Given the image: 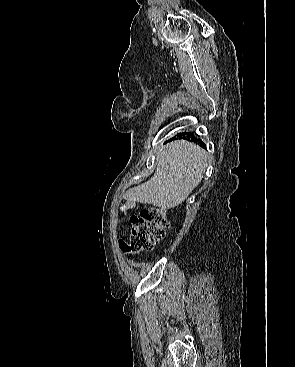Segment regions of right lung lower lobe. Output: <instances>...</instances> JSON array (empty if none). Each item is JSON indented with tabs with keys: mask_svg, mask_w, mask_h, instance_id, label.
Masks as SVG:
<instances>
[{
	"mask_svg": "<svg viewBox=\"0 0 295 367\" xmlns=\"http://www.w3.org/2000/svg\"><path fill=\"white\" fill-rule=\"evenodd\" d=\"M174 139H191V141H194L195 143H198L201 147L206 148L205 144L201 140H196L195 138H193V134L189 132L179 133L177 134V136L174 137Z\"/></svg>",
	"mask_w": 295,
	"mask_h": 367,
	"instance_id": "right-lung-lower-lobe-1",
	"label": "right lung lower lobe"
}]
</instances>
